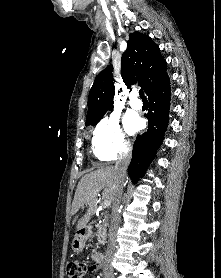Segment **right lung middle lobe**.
<instances>
[{
    "instance_id": "dd1d6c3e",
    "label": "right lung middle lobe",
    "mask_w": 221,
    "mask_h": 278,
    "mask_svg": "<svg viewBox=\"0 0 221 278\" xmlns=\"http://www.w3.org/2000/svg\"><path fill=\"white\" fill-rule=\"evenodd\" d=\"M96 124V123H95ZM95 124H91L92 126H94ZM90 124H86V126H89Z\"/></svg>"
}]
</instances>
